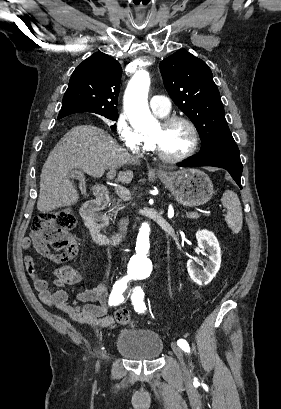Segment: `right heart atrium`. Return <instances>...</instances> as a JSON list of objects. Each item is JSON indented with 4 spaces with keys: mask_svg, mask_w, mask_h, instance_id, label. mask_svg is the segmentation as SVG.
Instances as JSON below:
<instances>
[{
    "mask_svg": "<svg viewBox=\"0 0 281 409\" xmlns=\"http://www.w3.org/2000/svg\"><path fill=\"white\" fill-rule=\"evenodd\" d=\"M128 115H118L114 122L119 140L125 149L133 150L139 146L140 135L134 130V125Z\"/></svg>",
    "mask_w": 281,
    "mask_h": 409,
    "instance_id": "obj_1",
    "label": "right heart atrium"
}]
</instances>
